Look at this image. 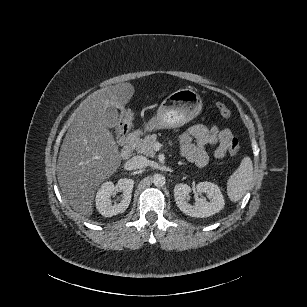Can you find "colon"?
Wrapping results in <instances>:
<instances>
[{
	"label": "colon",
	"instance_id": "obj_1",
	"mask_svg": "<svg viewBox=\"0 0 307 307\" xmlns=\"http://www.w3.org/2000/svg\"><path fill=\"white\" fill-rule=\"evenodd\" d=\"M216 107L220 115L224 118H229L231 116L230 109L223 103L217 102ZM132 121V115L130 111H126L121 119L120 124L116 128V138L121 141L127 134ZM240 150V144L237 139L232 140L229 147V154L235 156Z\"/></svg>",
	"mask_w": 307,
	"mask_h": 307
}]
</instances>
